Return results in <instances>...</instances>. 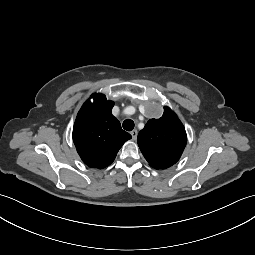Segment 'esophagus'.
<instances>
[{
	"instance_id": "34e87169",
	"label": "esophagus",
	"mask_w": 255,
	"mask_h": 255,
	"mask_svg": "<svg viewBox=\"0 0 255 255\" xmlns=\"http://www.w3.org/2000/svg\"><path fill=\"white\" fill-rule=\"evenodd\" d=\"M131 136H132V139L133 140H136L137 139V135H138V132H137V130H133V131H131Z\"/></svg>"
}]
</instances>
